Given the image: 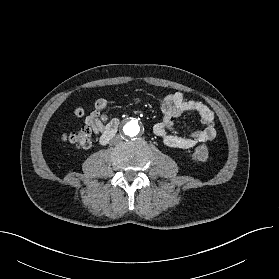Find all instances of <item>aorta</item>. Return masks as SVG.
I'll return each instance as SVG.
<instances>
[{
    "label": "aorta",
    "instance_id": "obj_1",
    "mask_svg": "<svg viewBox=\"0 0 279 279\" xmlns=\"http://www.w3.org/2000/svg\"><path fill=\"white\" fill-rule=\"evenodd\" d=\"M121 133L125 138H134L141 133V124L137 120H127L121 128Z\"/></svg>",
    "mask_w": 279,
    "mask_h": 279
}]
</instances>
